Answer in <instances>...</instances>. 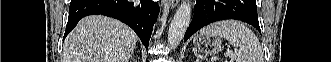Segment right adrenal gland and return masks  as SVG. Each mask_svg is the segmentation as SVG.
<instances>
[{"label":"right adrenal gland","instance_id":"obj_1","mask_svg":"<svg viewBox=\"0 0 331 62\" xmlns=\"http://www.w3.org/2000/svg\"><path fill=\"white\" fill-rule=\"evenodd\" d=\"M133 60L134 62H137V60L134 58V54L132 53L131 57L129 58V61Z\"/></svg>","mask_w":331,"mask_h":62}]
</instances>
